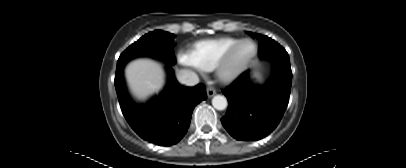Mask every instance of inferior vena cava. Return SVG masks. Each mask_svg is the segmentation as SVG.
I'll use <instances>...</instances> for the list:
<instances>
[{
  "mask_svg": "<svg viewBox=\"0 0 406 168\" xmlns=\"http://www.w3.org/2000/svg\"><path fill=\"white\" fill-rule=\"evenodd\" d=\"M177 78L181 83L187 86H193L199 83L198 75L189 69H182L178 71Z\"/></svg>",
  "mask_w": 406,
  "mask_h": 168,
  "instance_id": "1",
  "label": "inferior vena cava"
}]
</instances>
